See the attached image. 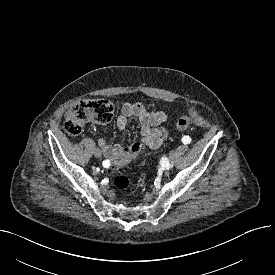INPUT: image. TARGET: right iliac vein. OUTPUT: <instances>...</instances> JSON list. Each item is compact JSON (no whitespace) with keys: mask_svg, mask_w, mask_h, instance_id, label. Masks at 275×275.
<instances>
[{"mask_svg":"<svg viewBox=\"0 0 275 275\" xmlns=\"http://www.w3.org/2000/svg\"><path fill=\"white\" fill-rule=\"evenodd\" d=\"M94 156H95L96 158H100V157H101V150L98 149V148H96V149L94 150Z\"/></svg>","mask_w":275,"mask_h":275,"instance_id":"1","label":"right iliac vein"}]
</instances>
